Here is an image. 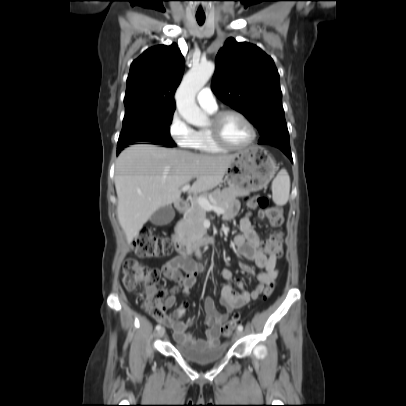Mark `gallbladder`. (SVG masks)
I'll use <instances>...</instances> for the list:
<instances>
[{
  "mask_svg": "<svg viewBox=\"0 0 406 406\" xmlns=\"http://www.w3.org/2000/svg\"><path fill=\"white\" fill-rule=\"evenodd\" d=\"M175 212L171 205L158 209L150 218V222L157 226L169 224L174 218Z\"/></svg>",
  "mask_w": 406,
  "mask_h": 406,
  "instance_id": "obj_1",
  "label": "gallbladder"
}]
</instances>
